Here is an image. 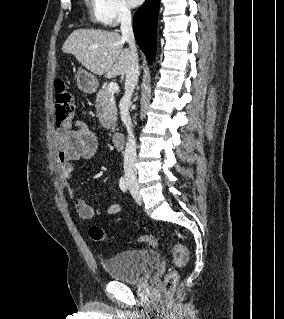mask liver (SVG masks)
I'll return each mask as SVG.
<instances>
[{
	"label": "liver",
	"mask_w": 284,
	"mask_h": 319,
	"mask_svg": "<svg viewBox=\"0 0 284 319\" xmlns=\"http://www.w3.org/2000/svg\"><path fill=\"white\" fill-rule=\"evenodd\" d=\"M124 43L115 31L77 29L68 36L62 51L74 55L93 74L122 79L132 64V55L129 49H123Z\"/></svg>",
	"instance_id": "6515ba94"
}]
</instances>
